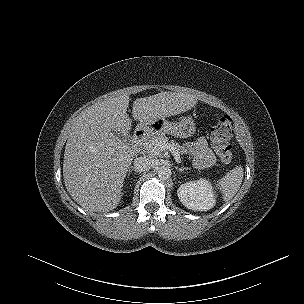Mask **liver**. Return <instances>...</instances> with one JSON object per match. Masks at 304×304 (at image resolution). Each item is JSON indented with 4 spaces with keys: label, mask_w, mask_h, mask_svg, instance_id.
Instances as JSON below:
<instances>
[{
    "label": "liver",
    "mask_w": 304,
    "mask_h": 304,
    "mask_svg": "<svg viewBox=\"0 0 304 304\" xmlns=\"http://www.w3.org/2000/svg\"><path fill=\"white\" fill-rule=\"evenodd\" d=\"M196 104L194 95L163 92L136 99L132 114L142 124L153 123ZM128 105V95L92 105L77 118L67 140L64 183L72 199L89 213L111 211L122 198L124 178L135 155L126 143L132 127Z\"/></svg>",
    "instance_id": "1"
}]
</instances>
